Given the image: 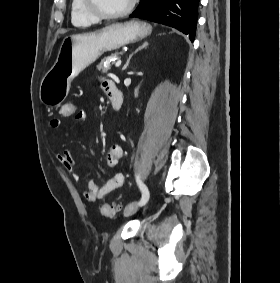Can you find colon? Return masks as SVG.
<instances>
[{
    "mask_svg": "<svg viewBox=\"0 0 280 283\" xmlns=\"http://www.w3.org/2000/svg\"><path fill=\"white\" fill-rule=\"evenodd\" d=\"M80 108L76 107V103H61L60 116L61 119H72V116H76V112H79ZM118 208L104 204L101 207V214L104 217H113L117 213Z\"/></svg>",
    "mask_w": 280,
    "mask_h": 283,
    "instance_id": "5ec220e1",
    "label": "colon"
}]
</instances>
